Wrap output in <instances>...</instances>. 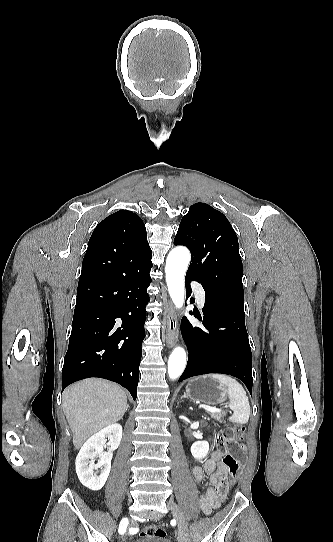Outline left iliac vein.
I'll return each instance as SVG.
<instances>
[{"label":"left iliac vein","instance_id":"4c4485c4","mask_svg":"<svg viewBox=\"0 0 333 542\" xmlns=\"http://www.w3.org/2000/svg\"><path fill=\"white\" fill-rule=\"evenodd\" d=\"M167 507L178 523V542H191L182 509L172 500L167 503Z\"/></svg>","mask_w":333,"mask_h":542}]
</instances>
